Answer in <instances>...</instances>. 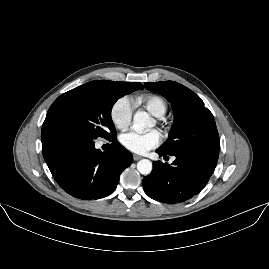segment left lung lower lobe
Returning a JSON list of instances; mask_svg holds the SVG:
<instances>
[{
  "label": "left lung lower lobe",
  "instance_id": "0a47b994",
  "mask_svg": "<svg viewBox=\"0 0 269 269\" xmlns=\"http://www.w3.org/2000/svg\"><path fill=\"white\" fill-rule=\"evenodd\" d=\"M164 159L166 155L175 156L170 165L157 161L153 171L143 181L146 194L154 200L165 203H179L198 194L211 177L217 160L209 157L194 156L178 151L156 150Z\"/></svg>",
  "mask_w": 269,
  "mask_h": 269
}]
</instances>
